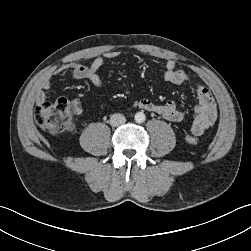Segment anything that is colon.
I'll return each instance as SVG.
<instances>
[{"mask_svg":"<svg viewBox=\"0 0 251 251\" xmlns=\"http://www.w3.org/2000/svg\"><path fill=\"white\" fill-rule=\"evenodd\" d=\"M78 114L79 108L75 103L60 98L54 102L38 104L34 119L42 130L58 135L75 128ZM188 141L191 144L196 143L192 136L188 137Z\"/></svg>","mask_w":251,"mask_h":251,"instance_id":"obj_1","label":"colon"}]
</instances>
